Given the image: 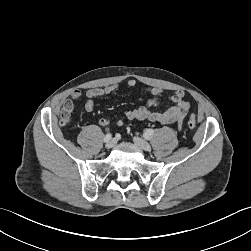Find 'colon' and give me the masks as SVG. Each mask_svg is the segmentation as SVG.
<instances>
[{
    "label": "colon",
    "instance_id": "1",
    "mask_svg": "<svg viewBox=\"0 0 251 251\" xmlns=\"http://www.w3.org/2000/svg\"><path fill=\"white\" fill-rule=\"evenodd\" d=\"M72 109L70 107H63L60 115V125L63 127H68L71 124V115ZM196 118L194 115H190L187 121V125L190 129L196 127Z\"/></svg>",
    "mask_w": 251,
    "mask_h": 251
}]
</instances>
